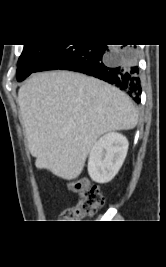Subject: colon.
Wrapping results in <instances>:
<instances>
[{"label": "colon", "mask_w": 166, "mask_h": 267, "mask_svg": "<svg viewBox=\"0 0 166 267\" xmlns=\"http://www.w3.org/2000/svg\"><path fill=\"white\" fill-rule=\"evenodd\" d=\"M72 188L78 194L77 201L64 207L60 213L59 222L76 223L92 217L104 205L105 197L98 186L88 180L73 183Z\"/></svg>", "instance_id": "obj_1"}]
</instances>
